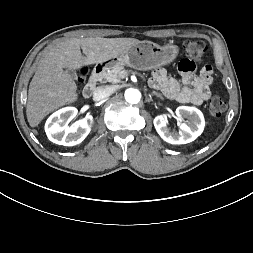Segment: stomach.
Listing matches in <instances>:
<instances>
[{"instance_id":"stomach-1","label":"stomach","mask_w":253,"mask_h":253,"mask_svg":"<svg viewBox=\"0 0 253 253\" xmlns=\"http://www.w3.org/2000/svg\"><path fill=\"white\" fill-rule=\"evenodd\" d=\"M179 48L173 42L160 46L151 41H140L125 52L100 63L103 69L112 66H129L137 70H150L171 63Z\"/></svg>"}]
</instances>
